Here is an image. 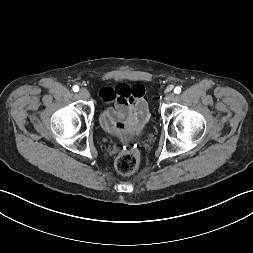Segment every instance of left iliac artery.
<instances>
[{
  "mask_svg": "<svg viewBox=\"0 0 253 253\" xmlns=\"http://www.w3.org/2000/svg\"><path fill=\"white\" fill-rule=\"evenodd\" d=\"M181 92V88L180 87H176L175 89H174V93L175 94H179Z\"/></svg>",
  "mask_w": 253,
  "mask_h": 253,
  "instance_id": "obj_1",
  "label": "left iliac artery"
}]
</instances>
